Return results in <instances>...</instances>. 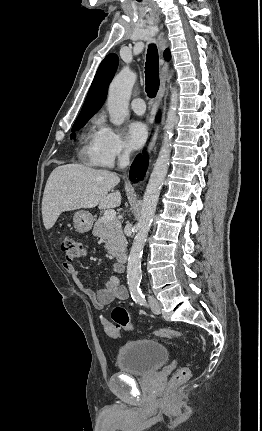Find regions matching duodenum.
Wrapping results in <instances>:
<instances>
[{"mask_svg": "<svg viewBox=\"0 0 262 431\" xmlns=\"http://www.w3.org/2000/svg\"><path fill=\"white\" fill-rule=\"evenodd\" d=\"M127 260H128V256H127V254H125V253H121V254L118 256V261H119V263H121V264L126 263V262H127Z\"/></svg>", "mask_w": 262, "mask_h": 431, "instance_id": "obj_1", "label": "duodenum"}]
</instances>
